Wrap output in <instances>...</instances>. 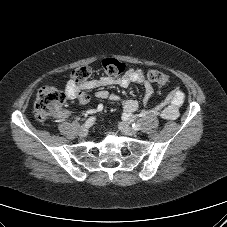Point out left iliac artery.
I'll return each instance as SVG.
<instances>
[{"instance_id":"obj_1","label":"left iliac artery","mask_w":227,"mask_h":227,"mask_svg":"<svg viewBox=\"0 0 227 227\" xmlns=\"http://www.w3.org/2000/svg\"><path fill=\"white\" fill-rule=\"evenodd\" d=\"M132 127H133L135 130H139V129H140V125L137 124V123L132 124Z\"/></svg>"}]
</instances>
